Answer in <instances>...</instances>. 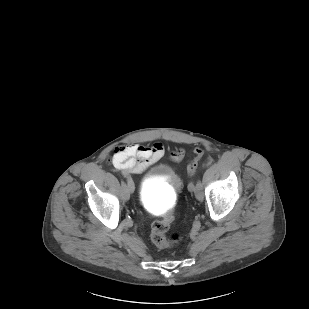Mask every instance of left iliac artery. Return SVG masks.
<instances>
[{
    "instance_id": "left-iliac-artery-1",
    "label": "left iliac artery",
    "mask_w": 309,
    "mask_h": 309,
    "mask_svg": "<svg viewBox=\"0 0 309 309\" xmlns=\"http://www.w3.org/2000/svg\"><path fill=\"white\" fill-rule=\"evenodd\" d=\"M190 184H192V185H193L194 190H195V188H196V189H199V188H201V189H202V184H201V181H198V182H197L196 187H194L193 182H191ZM192 192H193V191H192Z\"/></svg>"
}]
</instances>
